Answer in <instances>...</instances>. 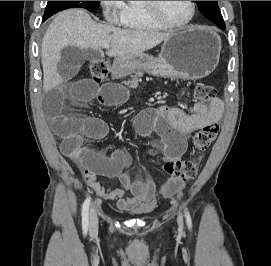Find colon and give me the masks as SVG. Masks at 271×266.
I'll return each instance as SVG.
<instances>
[{"label": "colon", "instance_id": "colon-1", "mask_svg": "<svg viewBox=\"0 0 271 266\" xmlns=\"http://www.w3.org/2000/svg\"><path fill=\"white\" fill-rule=\"evenodd\" d=\"M89 72L95 82H101L109 72V62L106 59H97L90 63ZM215 89L206 83L198 84L194 89V99L201 104H207L214 100ZM220 130L218 122H210L199 129L193 137V147L198 153L206 151L215 141ZM163 170L172 179L188 181L197 173V163L193 159H174L163 164Z\"/></svg>", "mask_w": 271, "mask_h": 266}]
</instances>
